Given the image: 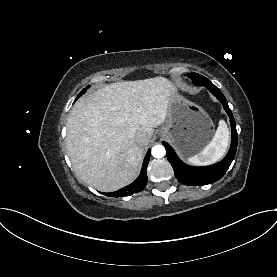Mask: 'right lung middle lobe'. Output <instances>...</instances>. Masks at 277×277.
Segmentation results:
<instances>
[{"instance_id":"dd1d6c3e","label":"right lung middle lobe","mask_w":277,"mask_h":277,"mask_svg":"<svg viewBox=\"0 0 277 277\" xmlns=\"http://www.w3.org/2000/svg\"><path fill=\"white\" fill-rule=\"evenodd\" d=\"M88 88V87H87ZM86 92V89H83L80 94L78 95V97L76 99H78L81 95H83Z\"/></svg>"}]
</instances>
